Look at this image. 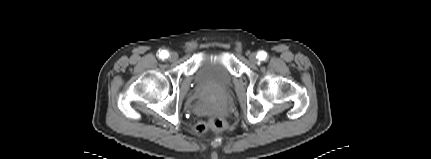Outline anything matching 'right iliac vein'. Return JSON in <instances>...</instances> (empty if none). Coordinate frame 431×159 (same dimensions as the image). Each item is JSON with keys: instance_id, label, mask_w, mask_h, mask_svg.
I'll use <instances>...</instances> for the list:
<instances>
[{"instance_id": "1", "label": "right iliac vein", "mask_w": 431, "mask_h": 159, "mask_svg": "<svg viewBox=\"0 0 431 159\" xmlns=\"http://www.w3.org/2000/svg\"><path fill=\"white\" fill-rule=\"evenodd\" d=\"M177 58H178V54H177V53L172 52V53L170 54L169 59H170L171 61H175V60H177Z\"/></svg>"}]
</instances>
